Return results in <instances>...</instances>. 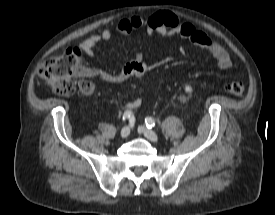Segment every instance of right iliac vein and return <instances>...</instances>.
<instances>
[{
  "instance_id": "63e3f726",
  "label": "right iliac vein",
  "mask_w": 275,
  "mask_h": 215,
  "mask_svg": "<svg viewBox=\"0 0 275 215\" xmlns=\"http://www.w3.org/2000/svg\"><path fill=\"white\" fill-rule=\"evenodd\" d=\"M129 134H130V128L128 126L123 127L120 133L121 137L126 138L128 137Z\"/></svg>"
}]
</instances>
